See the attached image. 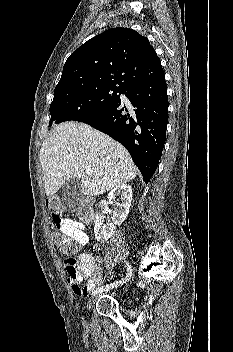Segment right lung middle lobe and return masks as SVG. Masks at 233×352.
<instances>
[{
    "mask_svg": "<svg viewBox=\"0 0 233 352\" xmlns=\"http://www.w3.org/2000/svg\"><path fill=\"white\" fill-rule=\"evenodd\" d=\"M124 93L125 89L121 86L100 85L54 94L49 126L64 121H78L98 113L118 102L120 94Z\"/></svg>",
    "mask_w": 233,
    "mask_h": 352,
    "instance_id": "dd1d6c3e",
    "label": "right lung middle lobe"
}]
</instances>
